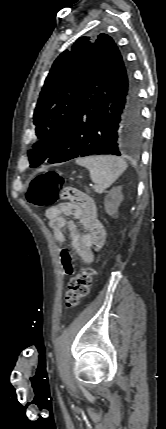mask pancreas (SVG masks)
<instances>
[{
    "label": "pancreas",
    "instance_id": "pancreas-1",
    "mask_svg": "<svg viewBox=\"0 0 166 429\" xmlns=\"http://www.w3.org/2000/svg\"><path fill=\"white\" fill-rule=\"evenodd\" d=\"M96 191H97V192H100V191H101V189H100V188H98V187H96Z\"/></svg>",
    "mask_w": 166,
    "mask_h": 429
}]
</instances>
